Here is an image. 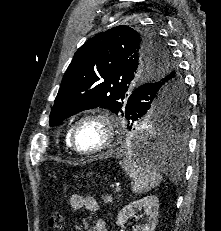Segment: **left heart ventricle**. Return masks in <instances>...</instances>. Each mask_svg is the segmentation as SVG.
I'll use <instances>...</instances> for the list:
<instances>
[{"label":"left heart ventricle","instance_id":"1","mask_svg":"<svg viewBox=\"0 0 221 231\" xmlns=\"http://www.w3.org/2000/svg\"><path fill=\"white\" fill-rule=\"evenodd\" d=\"M105 141V127L98 120L82 123L76 133V144L80 150L91 151L100 147Z\"/></svg>","mask_w":221,"mask_h":231}]
</instances>
